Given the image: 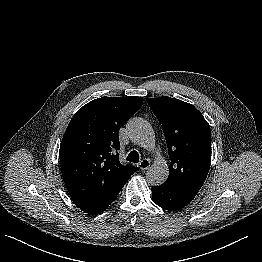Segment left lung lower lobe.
I'll return each mask as SVG.
<instances>
[{
  "label": "left lung lower lobe",
  "mask_w": 262,
  "mask_h": 262,
  "mask_svg": "<svg viewBox=\"0 0 262 262\" xmlns=\"http://www.w3.org/2000/svg\"><path fill=\"white\" fill-rule=\"evenodd\" d=\"M152 200L158 206L176 211L188 205L195 196L190 193L181 192L165 184L152 187Z\"/></svg>",
  "instance_id": "0a47b994"
}]
</instances>
